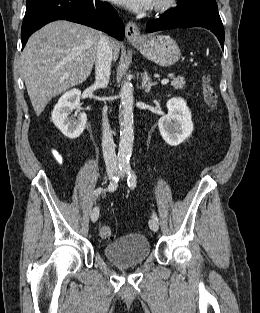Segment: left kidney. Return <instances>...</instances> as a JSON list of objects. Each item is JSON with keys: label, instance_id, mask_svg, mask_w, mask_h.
Masks as SVG:
<instances>
[{"label": "left kidney", "instance_id": "left-kidney-1", "mask_svg": "<svg viewBox=\"0 0 260 313\" xmlns=\"http://www.w3.org/2000/svg\"><path fill=\"white\" fill-rule=\"evenodd\" d=\"M168 114L158 121L160 134L170 146H178L193 131L192 116L184 99L172 98L167 102Z\"/></svg>", "mask_w": 260, "mask_h": 313}]
</instances>
